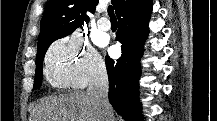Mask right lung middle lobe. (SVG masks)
<instances>
[{
    "mask_svg": "<svg viewBox=\"0 0 217 121\" xmlns=\"http://www.w3.org/2000/svg\"><path fill=\"white\" fill-rule=\"evenodd\" d=\"M55 41L51 40L48 41L42 45L38 46L37 55H36V73H35V82H34V90L39 88L41 86L42 81V72H43V59L45 56V53L50 46V44Z\"/></svg>",
    "mask_w": 217,
    "mask_h": 121,
    "instance_id": "dd1d6c3e",
    "label": "right lung middle lobe"
}]
</instances>
